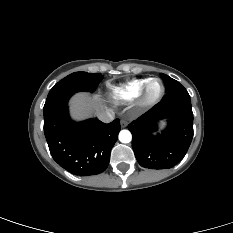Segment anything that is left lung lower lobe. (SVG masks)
Instances as JSON below:
<instances>
[{
	"label": "left lung lower lobe",
	"mask_w": 233,
	"mask_h": 233,
	"mask_svg": "<svg viewBox=\"0 0 233 233\" xmlns=\"http://www.w3.org/2000/svg\"><path fill=\"white\" fill-rule=\"evenodd\" d=\"M167 119L168 126L160 134L157 123ZM132 147L139 164L149 169H167L183 159L193 138L191 99L179 85L162 100L128 126Z\"/></svg>",
	"instance_id": "0a47b994"
}]
</instances>
